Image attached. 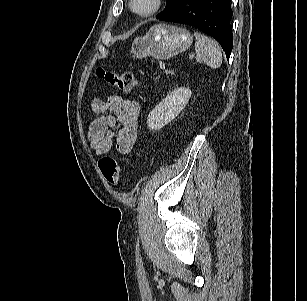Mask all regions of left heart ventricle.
Returning <instances> with one entry per match:
<instances>
[{
    "mask_svg": "<svg viewBox=\"0 0 307 301\" xmlns=\"http://www.w3.org/2000/svg\"><path fill=\"white\" fill-rule=\"evenodd\" d=\"M154 5V0H134V7L140 12L148 11Z\"/></svg>",
    "mask_w": 307,
    "mask_h": 301,
    "instance_id": "obj_1",
    "label": "left heart ventricle"
}]
</instances>
